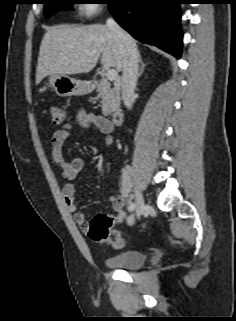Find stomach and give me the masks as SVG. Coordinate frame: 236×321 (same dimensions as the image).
Masks as SVG:
<instances>
[{
	"mask_svg": "<svg viewBox=\"0 0 236 321\" xmlns=\"http://www.w3.org/2000/svg\"><path fill=\"white\" fill-rule=\"evenodd\" d=\"M48 81V85L59 96H79L89 92V85L86 81L77 80L67 75H50Z\"/></svg>",
	"mask_w": 236,
	"mask_h": 321,
	"instance_id": "0dacf381",
	"label": "stomach"
}]
</instances>
